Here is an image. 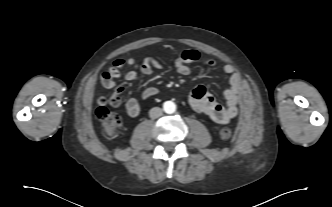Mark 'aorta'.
<instances>
[{
  "label": "aorta",
  "instance_id": "1",
  "mask_svg": "<svg viewBox=\"0 0 332 207\" xmlns=\"http://www.w3.org/2000/svg\"><path fill=\"white\" fill-rule=\"evenodd\" d=\"M163 110L165 111V113L167 114H172L176 111V105L174 102L172 101H166L163 104Z\"/></svg>",
  "mask_w": 332,
  "mask_h": 207
}]
</instances>
